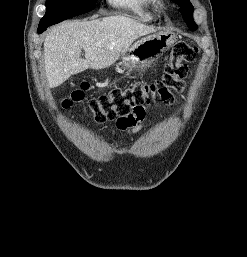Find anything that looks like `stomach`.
<instances>
[{
	"label": "stomach",
	"mask_w": 247,
	"mask_h": 257,
	"mask_svg": "<svg viewBox=\"0 0 247 257\" xmlns=\"http://www.w3.org/2000/svg\"><path fill=\"white\" fill-rule=\"evenodd\" d=\"M174 43L175 36L169 32L143 37L123 53L120 64L128 71L145 67L159 58Z\"/></svg>",
	"instance_id": "stomach-1"
}]
</instances>
